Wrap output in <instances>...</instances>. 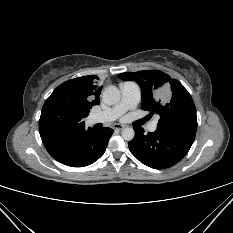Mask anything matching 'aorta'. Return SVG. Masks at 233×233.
Instances as JSON below:
<instances>
[{
  "instance_id": "762f6f07",
  "label": "aorta",
  "mask_w": 233,
  "mask_h": 233,
  "mask_svg": "<svg viewBox=\"0 0 233 233\" xmlns=\"http://www.w3.org/2000/svg\"><path fill=\"white\" fill-rule=\"evenodd\" d=\"M103 102L108 105H115L121 99V94L119 89L116 86H107L102 95ZM135 136L133 128H125L122 130V137L126 141H131Z\"/></svg>"
}]
</instances>
